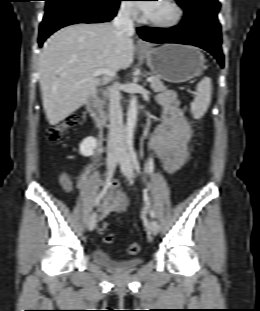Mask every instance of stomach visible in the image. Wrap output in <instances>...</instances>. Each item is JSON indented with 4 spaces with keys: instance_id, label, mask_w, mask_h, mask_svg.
Listing matches in <instances>:
<instances>
[{
    "instance_id": "0dacf381",
    "label": "stomach",
    "mask_w": 260,
    "mask_h": 311,
    "mask_svg": "<svg viewBox=\"0 0 260 311\" xmlns=\"http://www.w3.org/2000/svg\"><path fill=\"white\" fill-rule=\"evenodd\" d=\"M147 65L159 78L172 83H182L201 74L204 55L195 47L165 44L158 48L140 51Z\"/></svg>"
}]
</instances>
